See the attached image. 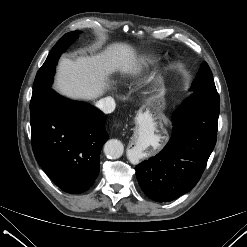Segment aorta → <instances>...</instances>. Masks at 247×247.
Here are the masks:
<instances>
[{
	"mask_svg": "<svg viewBox=\"0 0 247 247\" xmlns=\"http://www.w3.org/2000/svg\"><path fill=\"white\" fill-rule=\"evenodd\" d=\"M124 152V146L117 139H110L104 145V153L110 159H118Z\"/></svg>",
	"mask_w": 247,
	"mask_h": 247,
	"instance_id": "aorta-1",
	"label": "aorta"
}]
</instances>
